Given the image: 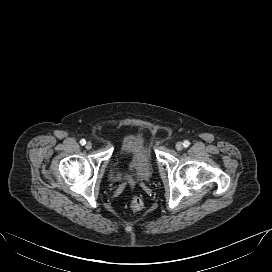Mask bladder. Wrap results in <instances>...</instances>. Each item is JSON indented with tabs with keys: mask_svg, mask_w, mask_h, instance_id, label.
I'll return each mask as SVG.
<instances>
[{
	"mask_svg": "<svg viewBox=\"0 0 272 272\" xmlns=\"http://www.w3.org/2000/svg\"><path fill=\"white\" fill-rule=\"evenodd\" d=\"M125 169L139 182H146L153 176V162L150 147L143 141L130 140L124 143L118 153L112 172L114 181L122 179L120 171Z\"/></svg>",
	"mask_w": 272,
	"mask_h": 272,
	"instance_id": "31cf9c89",
	"label": "bladder"
}]
</instances>
